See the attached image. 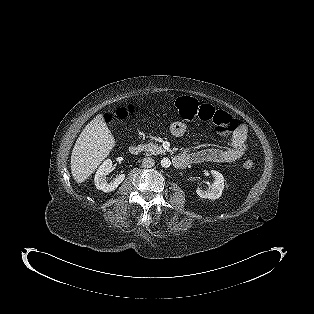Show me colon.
<instances>
[{
    "label": "colon",
    "instance_id": "obj_1",
    "mask_svg": "<svg viewBox=\"0 0 314 314\" xmlns=\"http://www.w3.org/2000/svg\"><path fill=\"white\" fill-rule=\"evenodd\" d=\"M176 107L178 115L184 120L198 119L202 122L212 123L219 133H227L237 130V120L228 112L220 109H216L213 106L207 104H200L194 98L189 96L179 97L176 101ZM135 109L133 107L119 108L115 112L114 118L122 122L133 114ZM103 121L106 124H110L113 121V117L110 114L103 115ZM254 163L250 157H245L241 161V167L244 170H250Z\"/></svg>",
    "mask_w": 314,
    "mask_h": 314
}]
</instances>
